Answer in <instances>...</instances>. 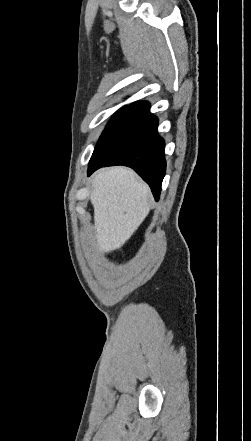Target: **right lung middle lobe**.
<instances>
[{"instance_id": "dd1d6c3e", "label": "right lung middle lobe", "mask_w": 251, "mask_h": 441, "mask_svg": "<svg viewBox=\"0 0 251 441\" xmlns=\"http://www.w3.org/2000/svg\"><path fill=\"white\" fill-rule=\"evenodd\" d=\"M129 105L123 106L122 108H120L112 117V119L110 120V122L107 124L106 128L104 129V131L101 134V137L103 136V134L107 131V129L114 123V121L126 110V108ZM100 137V138H101Z\"/></svg>"}]
</instances>
